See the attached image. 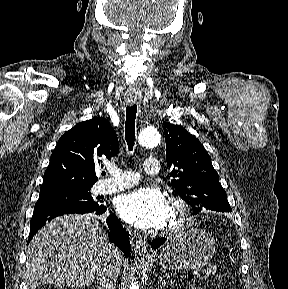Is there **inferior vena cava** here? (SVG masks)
<instances>
[{
    "label": "inferior vena cava",
    "instance_id": "inferior-vena-cava-1",
    "mask_svg": "<svg viewBox=\"0 0 288 289\" xmlns=\"http://www.w3.org/2000/svg\"><path fill=\"white\" fill-rule=\"evenodd\" d=\"M118 249L114 248L108 262L97 274L98 289H116L121 262L117 257Z\"/></svg>",
    "mask_w": 288,
    "mask_h": 289
}]
</instances>
